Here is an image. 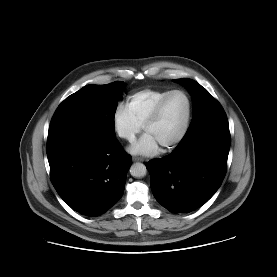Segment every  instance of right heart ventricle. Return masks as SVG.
Segmentation results:
<instances>
[{"mask_svg": "<svg viewBox=\"0 0 277 277\" xmlns=\"http://www.w3.org/2000/svg\"><path fill=\"white\" fill-rule=\"evenodd\" d=\"M170 89H144L129 96L126 106L132 117L143 126L158 102Z\"/></svg>", "mask_w": 277, "mask_h": 277, "instance_id": "e07e8e85", "label": "right heart ventricle"}]
</instances>
